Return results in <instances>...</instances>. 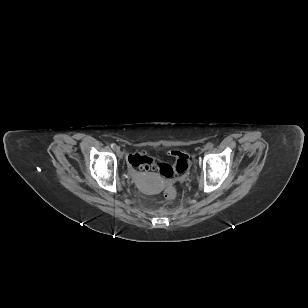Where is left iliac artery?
<instances>
[{
	"label": "left iliac artery",
	"instance_id": "44dca946",
	"mask_svg": "<svg viewBox=\"0 0 308 308\" xmlns=\"http://www.w3.org/2000/svg\"><path fill=\"white\" fill-rule=\"evenodd\" d=\"M206 147H207L208 149L213 148V143H212V142H208V143L206 144Z\"/></svg>",
	"mask_w": 308,
	"mask_h": 308
}]
</instances>
